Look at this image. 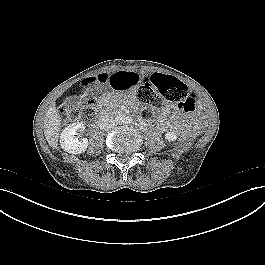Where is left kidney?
Returning a JSON list of instances; mask_svg holds the SVG:
<instances>
[{
    "mask_svg": "<svg viewBox=\"0 0 265 265\" xmlns=\"http://www.w3.org/2000/svg\"><path fill=\"white\" fill-rule=\"evenodd\" d=\"M165 139L168 141H174L176 139V135L173 132H168L165 134Z\"/></svg>",
    "mask_w": 265,
    "mask_h": 265,
    "instance_id": "left-kidney-1",
    "label": "left kidney"
}]
</instances>
